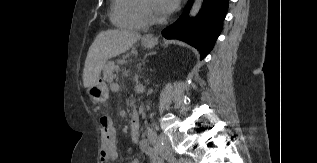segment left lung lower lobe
Here are the masks:
<instances>
[{"label":"left lung lower lobe","instance_id":"0a47b994","mask_svg":"<svg viewBox=\"0 0 317 163\" xmlns=\"http://www.w3.org/2000/svg\"><path fill=\"white\" fill-rule=\"evenodd\" d=\"M229 0H204L197 17L188 19V4L182 16L171 26L162 31L167 39H179L193 45L201 53V59L212 50L222 29Z\"/></svg>","mask_w":317,"mask_h":163}]
</instances>
